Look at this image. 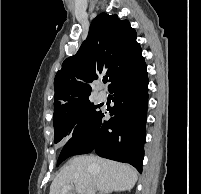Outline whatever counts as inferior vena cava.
Masks as SVG:
<instances>
[{"instance_id":"inferior-vena-cava-1","label":"inferior vena cava","mask_w":201,"mask_h":194,"mask_svg":"<svg viewBox=\"0 0 201 194\" xmlns=\"http://www.w3.org/2000/svg\"><path fill=\"white\" fill-rule=\"evenodd\" d=\"M95 192H96V188L94 185H91L89 189L87 190V194H95Z\"/></svg>"}]
</instances>
